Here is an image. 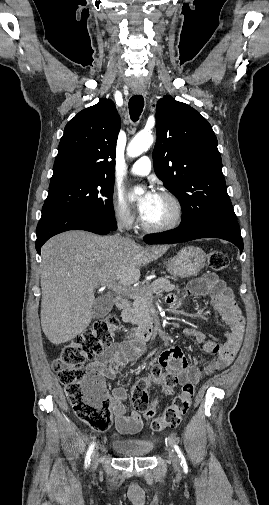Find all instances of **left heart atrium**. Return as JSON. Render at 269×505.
<instances>
[{
  "label": "left heart atrium",
  "mask_w": 269,
  "mask_h": 505,
  "mask_svg": "<svg viewBox=\"0 0 269 505\" xmlns=\"http://www.w3.org/2000/svg\"><path fill=\"white\" fill-rule=\"evenodd\" d=\"M157 196H158V194L152 189L146 191V193L144 194V196L138 206V210H139V213L142 216V218H144L148 214V212H149L152 204L156 200Z\"/></svg>",
  "instance_id": "obj_1"
}]
</instances>
